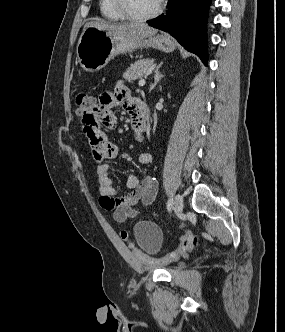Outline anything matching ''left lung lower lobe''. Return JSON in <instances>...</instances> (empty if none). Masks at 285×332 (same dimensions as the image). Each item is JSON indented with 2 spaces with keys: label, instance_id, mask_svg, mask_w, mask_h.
Segmentation results:
<instances>
[{
  "label": "left lung lower lobe",
  "instance_id": "obj_1",
  "mask_svg": "<svg viewBox=\"0 0 285 332\" xmlns=\"http://www.w3.org/2000/svg\"><path fill=\"white\" fill-rule=\"evenodd\" d=\"M210 0H171L165 15L147 21L169 32L188 51L207 65L206 23Z\"/></svg>",
  "mask_w": 285,
  "mask_h": 332
}]
</instances>
